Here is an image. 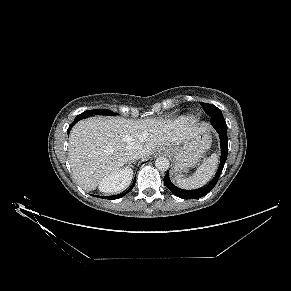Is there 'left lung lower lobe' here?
<instances>
[{"mask_svg":"<svg viewBox=\"0 0 291 291\" xmlns=\"http://www.w3.org/2000/svg\"><path fill=\"white\" fill-rule=\"evenodd\" d=\"M211 124L214 126L216 131L219 134L220 138V146H221V159H220V164L218 167V170L213 177V179L209 182L207 186H205L202 189L195 190V191H189L192 195L191 199H198L203 196H205L207 193H209L216 183L218 182V179L220 177V174L223 170L224 164L227 159V153H228V139H227V125L224 119H211ZM164 184L165 186L177 197L186 199L183 195L182 192L186 190H182L178 187H176L170 180L169 178V172L164 177Z\"/></svg>","mask_w":291,"mask_h":291,"instance_id":"1","label":"left lung lower lobe"}]
</instances>
